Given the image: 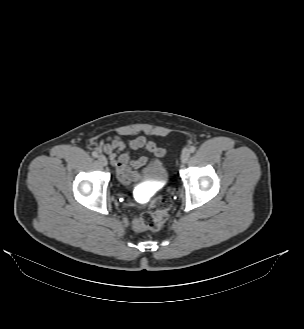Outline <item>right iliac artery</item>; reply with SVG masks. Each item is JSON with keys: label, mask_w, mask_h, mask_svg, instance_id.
I'll list each match as a JSON object with an SVG mask.
<instances>
[{"label": "right iliac artery", "mask_w": 304, "mask_h": 329, "mask_svg": "<svg viewBox=\"0 0 304 329\" xmlns=\"http://www.w3.org/2000/svg\"><path fill=\"white\" fill-rule=\"evenodd\" d=\"M92 156L95 157V158H97L99 156V154L96 151H93L92 152Z\"/></svg>", "instance_id": "right-iliac-artery-1"}]
</instances>
